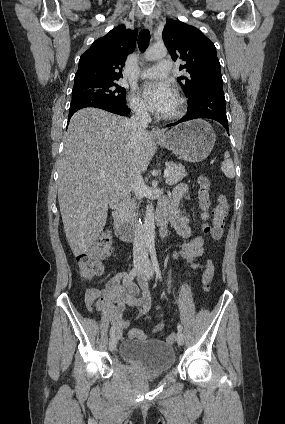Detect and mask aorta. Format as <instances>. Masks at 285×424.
<instances>
[{"label":"aorta","instance_id":"762f6f07","mask_svg":"<svg viewBox=\"0 0 285 424\" xmlns=\"http://www.w3.org/2000/svg\"><path fill=\"white\" fill-rule=\"evenodd\" d=\"M167 55L165 46H153L146 49L144 57L146 61H154L162 59ZM144 241L148 248H153L155 244V220H154V206L152 203L148 204L145 211L144 225Z\"/></svg>","mask_w":285,"mask_h":424}]
</instances>
